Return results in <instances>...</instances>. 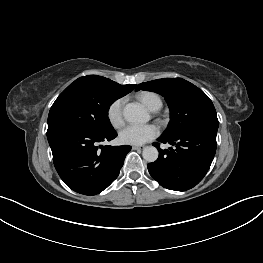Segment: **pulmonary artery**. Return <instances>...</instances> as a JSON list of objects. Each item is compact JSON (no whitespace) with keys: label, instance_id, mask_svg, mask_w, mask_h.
<instances>
[{"label":"pulmonary artery","instance_id":"1","mask_svg":"<svg viewBox=\"0 0 263 263\" xmlns=\"http://www.w3.org/2000/svg\"><path fill=\"white\" fill-rule=\"evenodd\" d=\"M160 108H157L155 111L159 110Z\"/></svg>","mask_w":263,"mask_h":263}]
</instances>
